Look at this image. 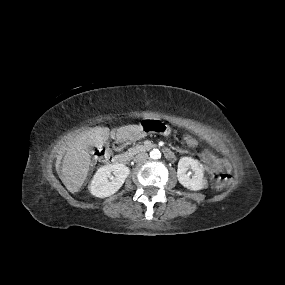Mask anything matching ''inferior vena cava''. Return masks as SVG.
I'll return each mask as SVG.
<instances>
[{"label": "inferior vena cava", "instance_id": "inferior-vena-cava-1", "mask_svg": "<svg viewBox=\"0 0 285 285\" xmlns=\"http://www.w3.org/2000/svg\"><path fill=\"white\" fill-rule=\"evenodd\" d=\"M148 159V154L145 152H141L134 157L135 162H142Z\"/></svg>", "mask_w": 285, "mask_h": 285}]
</instances>
